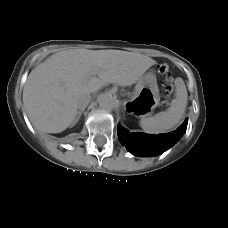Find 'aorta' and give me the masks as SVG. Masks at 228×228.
<instances>
[{"label": "aorta", "mask_w": 228, "mask_h": 228, "mask_svg": "<svg viewBox=\"0 0 228 228\" xmlns=\"http://www.w3.org/2000/svg\"><path fill=\"white\" fill-rule=\"evenodd\" d=\"M99 106L106 110H112L115 107V100L112 95L103 93L98 97Z\"/></svg>", "instance_id": "aorta-1"}]
</instances>
